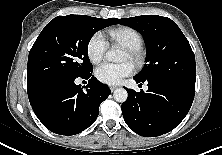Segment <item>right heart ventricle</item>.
<instances>
[{
	"mask_svg": "<svg viewBox=\"0 0 222 155\" xmlns=\"http://www.w3.org/2000/svg\"><path fill=\"white\" fill-rule=\"evenodd\" d=\"M110 38L128 49H141L143 38L141 34L134 28L129 26L117 27L109 30Z\"/></svg>",
	"mask_w": 222,
	"mask_h": 155,
	"instance_id": "obj_1",
	"label": "right heart ventricle"
}]
</instances>
